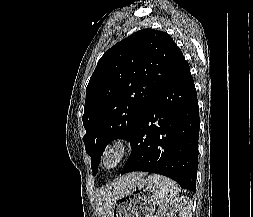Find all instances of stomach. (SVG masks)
Segmentation results:
<instances>
[{
	"mask_svg": "<svg viewBox=\"0 0 253 217\" xmlns=\"http://www.w3.org/2000/svg\"><path fill=\"white\" fill-rule=\"evenodd\" d=\"M157 203L156 186L144 176L116 200L110 217H152Z\"/></svg>",
	"mask_w": 253,
	"mask_h": 217,
	"instance_id": "obj_1",
	"label": "stomach"
}]
</instances>
